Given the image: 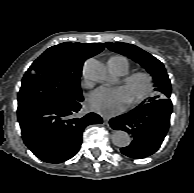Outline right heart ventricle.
<instances>
[{
	"label": "right heart ventricle",
	"mask_w": 194,
	"mask_h": 193,
	"mask_svg": "<svg viewBox=\"0 0 194 193\" xmlns=\"http://www.w3.org/2000/svg\"><path fill=\"white\" fill-rule=\"evenodd\" d=\"M110 59L113 60V63L110 65V67L117 74L124 75L129 71L130 64L127 58L124 56H114Z\"/></svg>",
	"instance_id": "obj_1"
}]
</instances>
